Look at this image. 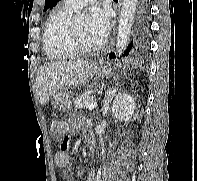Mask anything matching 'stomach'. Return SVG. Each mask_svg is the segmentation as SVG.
<instances>
[{
    "mask_svg": "<svg viewBox=\"0 0 197 181\" xmlns=\"http://www.w3.org/2000/svg\"><path fill=\"white\" fill-rule=\"evenodd\" d=\"M99 78H108L113 74V69L108 66H100L96 72ZM73 95L64 90H58L52 97L53 106L59 111H68L72 106Z\"/></svg>",
    "mask_w": 197,
    "mask_h": 181,
    "instance_id": "obj_1",
    "label": "stomach"
}]
</instances>
